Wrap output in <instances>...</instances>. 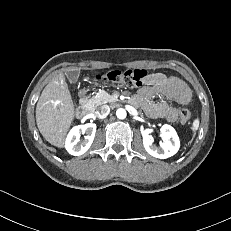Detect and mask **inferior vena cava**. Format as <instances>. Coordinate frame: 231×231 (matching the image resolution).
Wrapping results in <instances>:
<instances>
[{
	"instance_id": "inferior-vena-cava-1",
	"label": "inferior vena cava",
	"mask_w": 231,
	"mask_h": 231,
	"mask_svg": "<svg viewBox=\"0 0 231 231\" xmlns=\"http://www.w3.org/2000/svg\"><path fill=\"white\" fill-rule=\"evenodd\" d=\"M110 112V107L108 105H102L97 108L96 114L99 118H105Z\"/></svg>"
}]
</instances>
